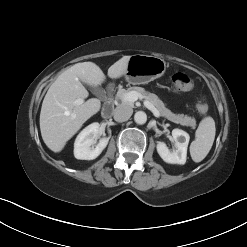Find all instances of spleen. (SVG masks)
I'll return each instance as SVG.
<instances>
[{"mask_svg":"<svg viewBox=\"0 0 247 247\" xmlns=\"http://www.w3.org/2000/svg\"><path fill=\"white\" fill-rule=\"evenodd\" d=\"M215 121L212 117L203 118L196 130L195 140L190 145V155L194 162H201L209 153L215 139Z\"/></svg>","mask_w":247,"mask_h":247,"instance_id":"spleen-1","label":"spleen"}]
</instances>
